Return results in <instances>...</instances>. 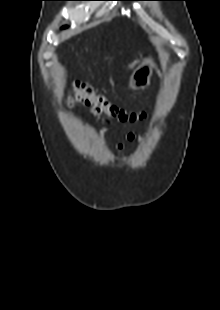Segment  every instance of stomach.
Returning a JSON list of instances; mask_svg holds the SVG:
<instances>
[{"instance_id":"stomach-1","label":"stomach","mask_w":220,"mask_h":310,"mask_svg":"<svg viewBox=\"0 0 220 310\" xmlns=\"http://www.w3.org/2000/svg\"><path fill=\"white\" fill-rule=\"evenodd\" d=\"M154 68L155 59L153 57L143 59L138 65V67L133 71L129 79V88L137 90L143 89L147 85H149Z\"/></svg>"}]
</instances>
